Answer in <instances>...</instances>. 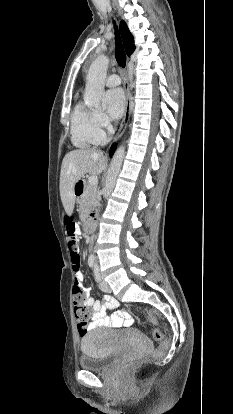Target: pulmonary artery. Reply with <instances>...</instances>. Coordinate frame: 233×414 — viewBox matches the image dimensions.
I'll return each mask as SVG.
<instances>
[{
	"instance_id": "obj_1",
	"label": "pulmonary artery",
	"mask_w": 233,
	"mask_h": 414,
	"mask_svg": "<svg viewBox=\"0 0 233 414\" xmlns=\"http://www.w3.org/2000/svg\"><path fill=\"white\" fill-rule=\"evenodd\" d=\"M105 83L108 87H115L121 83V78L117 74H112L107 77Z\"/></svg>"
}]
</instances>
